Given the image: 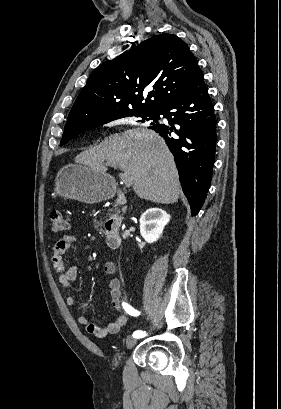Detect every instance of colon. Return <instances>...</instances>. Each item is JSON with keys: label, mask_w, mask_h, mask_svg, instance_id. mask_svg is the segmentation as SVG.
<instances>
[{"label": "colon", "mask_w": 281, "mask_h": 409, "mask_svg": "<svg viewBox=\"0 0 281 409\" xmlns=\"http://www.w3.org/2000/svg\"><path fill=\"white\" fill-rule=\"evenodd\" d=\"M53 231L58 235L66 234L69 230L68 218L59 210H51L49 213Z\"/></svg>", "instance_id": "obj_1"}]
</instances>
